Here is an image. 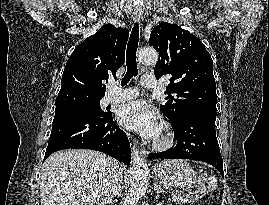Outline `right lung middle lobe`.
<instances>
[{
	"label": "right lung middle lobe",
	"mask_w": 269,
	"mask_h": 205,
	"mask_svg": "<svg viewBox=\"0 0 269 205\" xmlns=\"http://www.w3.org/2000/svg\"><path fill=\"white\" fill-rule=\"evenodd\" d=\"M65 112H87L93 113L99 116L107 115V112H103L100 107V101L73 104L67 106L56 107L55 114Z\"/></svg>",
	"instance_id": "dd1d6c3e"
}]
</instances>
